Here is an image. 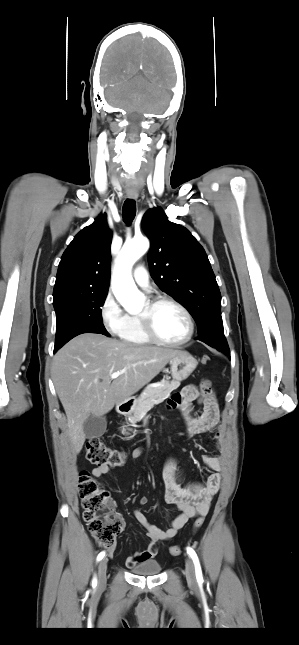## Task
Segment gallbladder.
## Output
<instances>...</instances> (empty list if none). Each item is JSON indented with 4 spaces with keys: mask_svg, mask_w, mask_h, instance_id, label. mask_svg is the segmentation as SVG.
<instances>
[{
    "mask_svg": "<svg viewBox=\"0 0 299 645\" xmlns=\"http://www.w3.org/2000/svg\"><path fill=\"white\" fill-rule=\"evenodd\" d=\"M106 428L105 416L90 415L83 424V430L88 439L101 437L106 432Z\"/></svg>",
    "mask_w": 299,
    "mask_h": 645,
    "instance_id": "obj_1",
    "label": "gallbladder"
}]
</instances>
